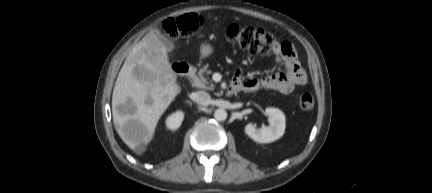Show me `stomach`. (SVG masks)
Instances as JSON below:
<instances>
[{
	"mask_svg": "<svg viewBox=\"0 0 432 193\" xmlns=\"http://www.w3.org/2000/svg\"><path fill=\"white\" fill-rule=\"evenodd\" d=\"M214 52V48L212 45L205 43L200 47V53L203 57H208Z\"/></svg>",
	"mask_w": 432,
	"mask_h": 193,
	"instance_id": "0dacf381",
	"label": "stomach"
}]
</instances>
